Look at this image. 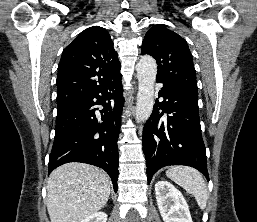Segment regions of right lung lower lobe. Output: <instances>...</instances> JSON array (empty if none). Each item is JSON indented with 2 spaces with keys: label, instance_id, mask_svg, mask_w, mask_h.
Instances as JSON below:
<instances>
[{
  "label": "right lung lower lobe",
  "instance_id": "obj_1",
  "mask_svg": "<svg viewBox=\"0 0 257 222\" xmlns=\"http://www.w3.org/2000/svg\"><path fill=\"white\" fill-rule=\"evenodd\" d=\"M120 72L91 95L57 111L55 140L48 173L68 162H83L104 169L115 192L118 179L117 140L124 98ZM96 105H102L96 117Z\"/></svg>",
  "mask_w": 257,
  "mask_h": 222
}]
</instances>
